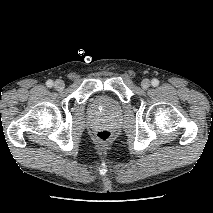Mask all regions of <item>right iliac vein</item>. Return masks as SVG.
<instances>
[{"mask_svg": "<svg viewBox=\"0 0 213 213\" xmlns=\"http://www.w3.org/2000/svg\"><path fill=\"white\" fill-rule=\"evenodd\" d=\"M54 87L56 90L61 91L64 89L65 87V83L62 80H56L54 83Z\"/></svg>", "mask_w": 213, "mask_h": 213, "instance_id": "obj_1", "label": "right iliac vein"}]
</instances>
